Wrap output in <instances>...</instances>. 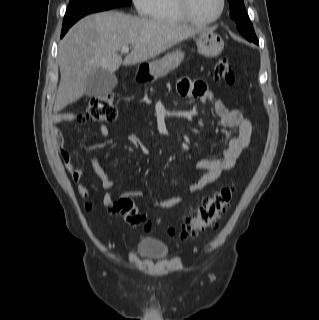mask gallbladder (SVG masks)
Listing matches in <instances>:
<instances>
[{
  "mask_svg": "<svg viewBox=\"0 0 319 320\" xmlns=\"http://www.w3.org/2000/svg\"><path fill=\"white\" fill-rule=\"evenodd\" d=\"M117 85V78L113 73L98 69L87 78L86 96H101L111 92Z\"/></svg>",
  "mask_w": 319,
  "mask_h": 320,
  "instance_id": "1",
  "label": "gallbladder"
}]
</instances>
